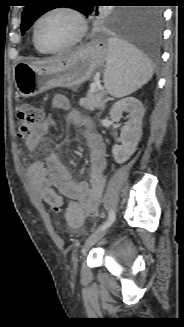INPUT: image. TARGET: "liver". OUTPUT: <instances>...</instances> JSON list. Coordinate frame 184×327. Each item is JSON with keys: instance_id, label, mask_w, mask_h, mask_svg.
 <instances>
[{"instance_id": "1", "label": "liver", "mask_w": 184, "mask_h": 327, "mask_svg": "<svg viewBox=\"0 0 184 327\" xmlns=\"http://www.w3.org/2000/svg\"><path fill=\"white\" fill-rule=\"evenodd\" d=\"M62 59H64V58H56V59H48V60H43V61H35V62H32V64H35V65H46V64H50V63L61 61Z\"/></svg>"}]
</instances>
